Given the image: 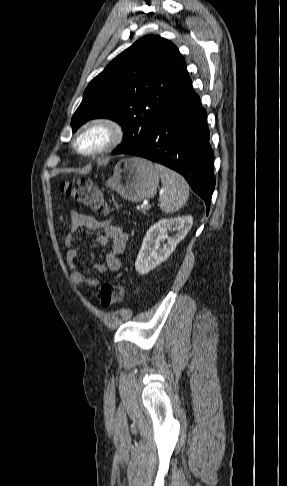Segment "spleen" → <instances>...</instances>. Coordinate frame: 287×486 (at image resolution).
<instances>
[{"label": "spleen", "instance_id": "3e777b00", "mask_svg": "<svg viewBox=\"0 0 287 486\" xmlns=\"http://www.w3.org/2000/svg\"><path fill=\"white\" fill-rule=\"evenodd\" d=\"M163 184V194L159 197L164 213H174L181 209L189 197V186L183 176L175 171L155 164Z\"/></svg>", "mask_w": 287, "mask_h": 486}]
</instances>
